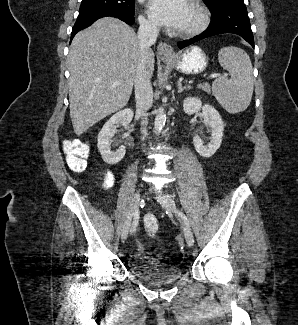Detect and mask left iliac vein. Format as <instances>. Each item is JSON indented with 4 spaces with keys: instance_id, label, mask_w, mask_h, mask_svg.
Wrapping results in <instances>:
<instances>
[{
    "instance_id": "4c4485c4",
    "label": "left iliac vein",
    "mask_w": 298,
    "mask_h": 325,
    "mask_svg": "<svg viewBox=\"0 0 298 325\" xmlns=\"http://www.w3.org/2000/svg\"><path fill=\"white\" fill-rule=\"evenodd\" d=\"M160 203L166 211H168L170 213H174L175 215L178 214L176 205L171 198H169L167 196H162L160 198ZM182 227H183V232H184L186 243L188 244L189 247H192L194 245V236H193L192 230L185 222L183 223Z\"/></svg>"
}]
</instances>
